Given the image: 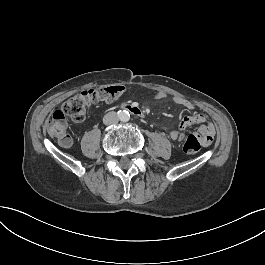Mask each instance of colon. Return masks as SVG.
I'll use <instances>...</instances> for the list:
<instances>
[{
	"mask_svg": "<svg viewBox=\"0 0 265 265\" xmlns=\"http://www.w3.org/2000/svg\"><path fill=\"white\" fill-rule=\"evenodd\" d=\"M124 90L125 88L122 85L100 86L82 91L67 99L47 121L49 134L57 139L61 147L69 148L72 140L68 133L67 117L78 122L83 121L92 106L98 103H113L122 96ZM201 147L202 143L199 141V137L189 134L183 144V151L188 155H192L199 151Z\"/></svg>",
	"mask_w": 265,
	"mask_h": 265,
	"instance_id": "colon-1",
	"label": "colon"
}]
</instances>
